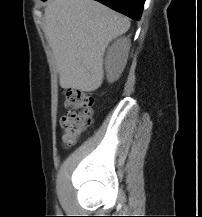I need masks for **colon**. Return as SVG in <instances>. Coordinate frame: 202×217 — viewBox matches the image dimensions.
Masks as SVG:
<instances>
[{
  "label": "colon",
  "instance_id": "colon-1",
  "mask_svg": "<svg viewBox=\"0 0 202 217\" xmlns=\"http://www.w3.org/2000/svg\"><path fill=\"white\" fill-rule=\"evenodd\" d=\"M67 111L61 117L63 130L62 143L65 147L73 146L90 126L94 99L89 94L73 89L64 92Z\"/></svg>",
  "mask_w": 202,
  "mask_h": 217
}]
</instances>
